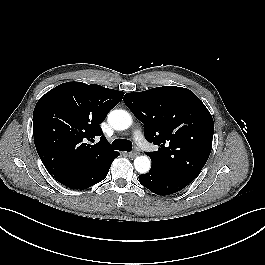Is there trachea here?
I'll return each instance as SVG.
<instances>
[{
    "label": "trachea",
    "mask_w": 265,
    "mask_h": 265,
    "mask_svg": "<svg viewBox=\"0 0 265 265\" xmlns=\"http://www.w3.org/2000/svg\"><path fill=\"white\" fill-rule=\"evenodd\" d=\"M112 148L115 150L130 152L132 150V143L126 139H116L112 143Z\"/></svg>",
    "instance_id": "3493384b"
}]
</instances>
